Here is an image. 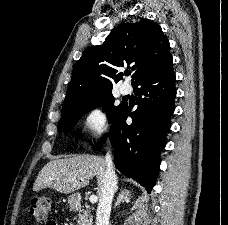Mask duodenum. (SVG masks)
I'll return each mask as SVG.
<instances>
[{
	"instance_id": "obj_1",
	"label": "duodenum",
	"mask_w": 228,
	"mask_h": 225,
	"mask_svg": "<svg viewBox=\"0 0 228 225\" xmlns=\"http://www.w3.org/2000/svg\"><path fill=\"white\" fill-rule=\"evenodd\" d=\"M71 203L73 206L78 207L80 205V200L77 196L71 197Z\"/></svg>"
}]
</instances>
